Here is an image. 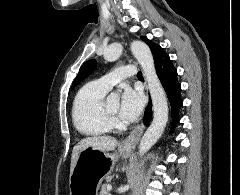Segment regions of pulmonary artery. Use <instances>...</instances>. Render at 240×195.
Returning a JSON list of instances; mask_svg holds the SVG:
<instances>
[{"instance_id": "obj_1", "label": "pulmonary artery", "mask_w": 240, "mask_h": 195, "mask_svg": "<svg viewBox=\"0 0 240 195\" xmlns=\"http://www.w3.org/2000/svg\"><path fill=\"white\" fill-rule=\"evenodd\" d=\"M122 71H111L110 74L98 78V83H103L105 88L110 90L119 80H125L126 76H133L136 73L133 65H123Z\"/></svg>"}]
</instances>
